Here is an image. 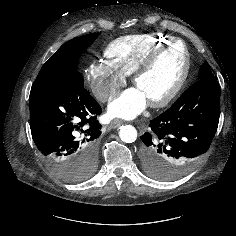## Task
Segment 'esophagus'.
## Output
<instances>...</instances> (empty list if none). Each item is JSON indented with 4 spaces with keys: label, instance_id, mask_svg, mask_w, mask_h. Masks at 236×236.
Instances as JSON below:
<instances>
[{
    "label": "esophagus",
    "instance_id": "esophagus-1",
    "mask_svg": "<svg viewBox=\"0 0 236 236\" xmlns=\"http://www.w3.org/2000/svg\"><path fill=\"white\" fill-rule=\"evenodd\" d=\"M123 122L119 119L113 120L110 124L111 128H117L119 127Z\"/></svg>",
    "mask_w": 236,
    "mask_h": 236
}]
</instances>
